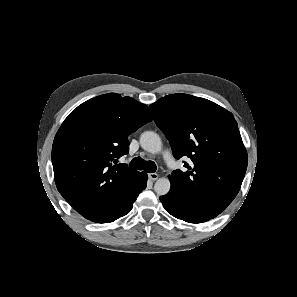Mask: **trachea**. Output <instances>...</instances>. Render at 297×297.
Instances as JSON below:
<instances>
[{
	"instance_id": "trachea-1",
	"label": "trachea",
	"mask_w": 297,
	"mask_h": 297,
	"mask_svg": "<svg viewBox=\"0 0 297 297\" xmlns=\"http://www.w3.org/2000/svg\"><path fill=\"white\" fill-rule=\"evenodd\" d=\"M129 166L133 169L144 170L148 173H153L157 169L156 164L153 161H145L141 157L132 159Z\"/></svg>"
}]
</instances>
